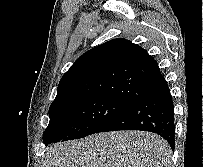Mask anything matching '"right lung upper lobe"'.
<instances>
[{
  "mask_svg": "<svg viewBox=\"0 0 203 167\" xmlns=\"http://www.w3.org/2000/svg\"><path fill=\"white\" fill-rule=\"evenodd\" d=\"M157 61L126 39H113L80 56L63 75L51 107L83 97L131 104L165 85Z\"/></svg>",
  "mask_w": 203,
  "mask_h": 167,
  "instance_id": "right-lung-upper-lobe-1",
  "label": "right lung upper lobe"
}]
</instances>
